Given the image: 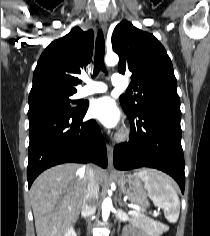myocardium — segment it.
Segmentation results:
<instances>
[{"label": "myocardium", "mask_w": 210, "mask_h": 236, "mask_svg": "<svg viewBox=\"0 0 210 236\" xmlns=\"http://www.w3.org/2000/svg\"><path fill=\"white\" fill-rule=\"evenodd\" d=\"M128 136H129V132L127 130H123L117 135V139L119 141H124L128 138Z\"/></svg>", "instance_id": "obj_1"}]
</instances>
